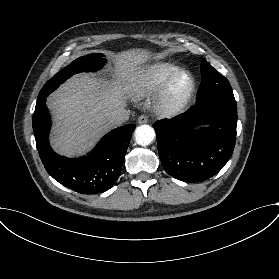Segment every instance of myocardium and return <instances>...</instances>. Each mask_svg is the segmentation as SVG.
<instances>
[{
	"label": "myocardium",
	"mask_w": 279,
	"mask_h": 279,
	"mask_svg": "<svg viewBox=\"0 0 279 279\" xmlns=\"http://www.w3.org/2000/svg\"><path fill=\"white\" fill-rule=\"evenodd\" d=\"M185 75L189 79V88L185 94L176 97L173 93L174 85L180 76ZM196 82L191 73L180 71L170 78L158 93L156 101V110L163 117H175L179 115L190 102L195 93Z\"/></svg>",
	"instance_id": "f54148a6"
}]
</instances>
